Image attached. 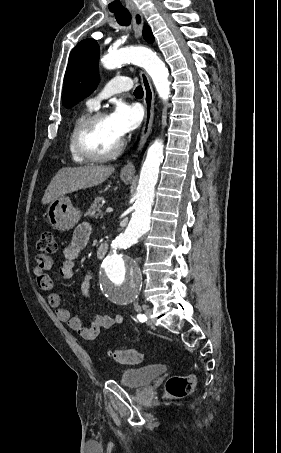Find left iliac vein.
Masks as SVG:
<instances>
[{
    "instance_id": "left-iliac-vein-1",
    "label": "left iliac vein",
    "mask_w": 281,
    "mask_h": 453,
    "mask_svg": "<svg viewBox=\"0 0 281 453\" xmlns=\"http://www.w3.org/2000/svg\"><path fill=\"white\" fill-rule=\"evenodd\" d=\"M144 314L147 318H149L150 314H152V312H151V310H145ZM153 322H154V320H147V325H153Z\"/></svg>"
}]
</instances>
